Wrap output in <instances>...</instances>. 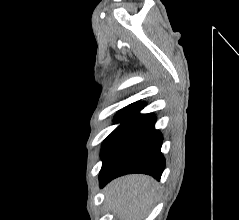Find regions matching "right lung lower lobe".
<instances>
[{"label":"right lung lower lobe","instance_id":"98d812e1","mask_svg":"<svg viewBox=\"0 0 239 220\" xmlns=\"http://www.w3.org/2000/svg\"><path fill=\"white\" fill-rule=\"evenodd\" d=\"M145 103L133 106L102 156L100 185L130 173H144L160 179L165 167L161 153L163 137L154 128V114H140Z\"/></svg>","mask_w":239,"mask_h":220}]
</instances>
